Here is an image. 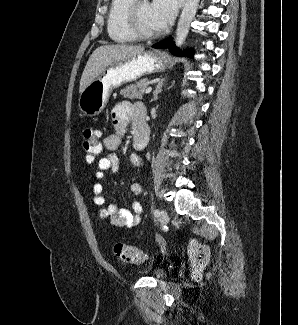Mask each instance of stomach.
Instances as JSON below:
<instances>
[{
	"mask_svg": "<svg viewBox=\"0 0 298 325\" xmlns=\"http://www.w3.org/2000/svg\"><path fill=\"white\" fill-rule=\"evenodd\" d=\"M167 66L168 58L160 50H144L135 56L110 62L79 94L78 106L86 116H96L105 108L114 88L146 74L163 72Z\"/></svg>",
	"mask_w": 298,
	"mask_h": 325,
	"instance_id": "0dacf381",
	"label": "stomach"
}]
</instances>
